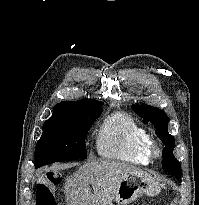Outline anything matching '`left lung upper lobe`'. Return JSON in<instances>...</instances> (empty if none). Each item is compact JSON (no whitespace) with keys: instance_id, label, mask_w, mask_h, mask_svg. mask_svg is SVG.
<instances>
[{"instance_id":"left-lung-upper-lobe-1","label":"left lung upper lobe","mask_w":199,"mask_h":205,"mask_svg":"<svg viewBox=\"0 0 199 205\" xmlns=\"http://www.w3.org/2000/svg\"><path fill=\"white\" fill-rule=\"evenodd\" d=\"M133 110L144 118V122L154 124L156 135L161 139L165 148L163 149V170L179 179L182 175L181 164L173 155L175 140L168 132V116L161 109L150 105H132Z\"/></svg>"}]
</instances>
